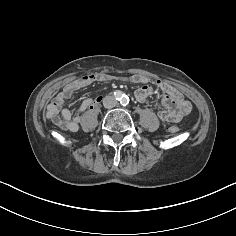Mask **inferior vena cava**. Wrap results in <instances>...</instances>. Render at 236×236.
<instances>
[{"instance_id":"602c4592","label":"inferior vena cava","mask_w":236,"mask_h":236,"mask_svg":"<svg viewBox=\"0 0 236 236\" xmlns=\"http://www.w3.org/2000/svg\"><path fill=\"white\" fill-rule=\"evenodd\" d=\"M103 105L105 108H113L117 105V101L115 99V97L113 96H106L104 99H103Z\"/></svg>"}]
</instances>
